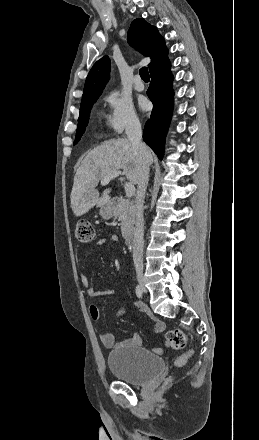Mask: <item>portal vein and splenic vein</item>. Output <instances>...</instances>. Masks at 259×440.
Here are the masks:
<instances>
[{"label": "portal vein and splenic vein", "mask_w": 259, "mask_h": 440, "mask_svg": "<svg viewBox=\"0 0 259 440\" xmlns=\"http://www.w3.org/2000/svg\"><path fill=\"white\" fill-rule=\"evenodd\" d=\"M123 173L121 171H113L112 173H110L109 175H107L102 181H101V185H107L112 179L122 175ZM125 192H126V196L127 197H132L135 194V186L133 185V183L131 182H126L125 183Z\"/></svg>", "instance_id": "18ae733b"}]
</instances>
